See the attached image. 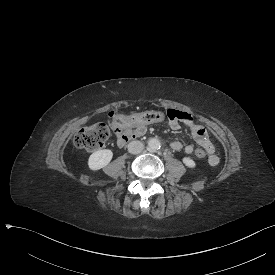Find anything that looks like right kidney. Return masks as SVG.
I'll use <instances>...</instances> for the list:
<instances>
[{"label": "right kidney", "mask_w": 275, "mask_h": 275, "mask_svg": "<svg viewBox=\"0 0 275 275\" xmlns=\"http://www.w3.org/2000/svg\"><path fill=\"white\" fill-rule=\"evenodd\" d=\"M113 158L111 149L98 150L92 153L88 159V168L92 171H98L105 168Z\"/></svg>", "instance_id": "1"}]
</instances>
